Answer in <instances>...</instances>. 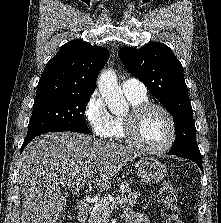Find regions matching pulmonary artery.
Instances as JSON below:
<instances>
[{
  "instance_id": "obj_1",
  "label": "pulmonary artery",
  "mask_w": 221,
  "mask_h": 223,
  "mask_svg": "<svg viewBox=\"0 0 221 223\" xmlns=\"http://www.w3.org/2000/svg\"><path fill=\"white\" fill-rule=\"evenodd\" d=\"M122 90L127 96H146V86L136 78H127L122 82Z\"/></svg>"
}]
</instances>
